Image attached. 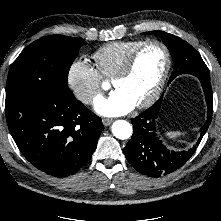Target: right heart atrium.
Here are the masks:
<instances>
[{"label": "right heart atrium", "mask_w": 221, "mask_h": 221, "mask_svg": "<svg viewBox=\"0 0 221 221\" xmlns=\"http://www.w3.org/2000/svg\"><path fill=\"white\" fill-rule=\"evenodd\" d=\"M67 81L74 96L84 104H91L102 92V75L83 58L72 62Z\"/></svg>", "instance_id": "1"}]
</instances>
